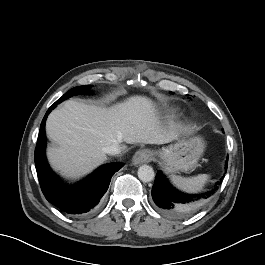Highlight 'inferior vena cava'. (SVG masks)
Here are the masks:
<instances>
[{"mask_svg": "<svg viewBox=\"0 0 265 265\" xmlns=\"http://www.w3.org/2000/svg\"><path fill=\"white\" fill-rule=\"evenodd\" d=\"M105 153L109 155H118L121 153L122 149L119 144H112L104 149Z\"/></svg>", "mask_w": 265, "mask_h": 265, "instance_id": "inferior-vena-cava-1", "label": "inferior vena cava"}]
</instances>
